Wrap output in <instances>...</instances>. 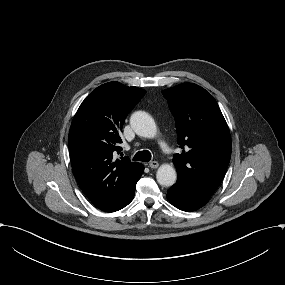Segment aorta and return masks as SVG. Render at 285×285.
<instances>
[{
  "label": "aorta",
  "mask_w": 285,
  "mask_h": 285,
  "mask_svg": "<svg viewBox=\"0 0 285 285\" xmlns=\"http://www.w3.org/2000/svg\"><path fill=\"white\" fill-rule=\"evenodd\" d=\"M130 124L135 133L145 138H154L157 135V126L154 119L144 111H136L131 115ZM157 181L162 186H172L177 179L175 168L170 164H162L156 173Z\"/></svg>",
  "instance_id": "aorta-1"
}]
</instances>
